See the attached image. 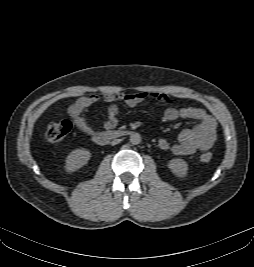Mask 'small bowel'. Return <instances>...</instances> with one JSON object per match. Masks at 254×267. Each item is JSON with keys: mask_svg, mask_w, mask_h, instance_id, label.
Listing matches in <instances>:
<instances>
[{"mask_svg": "<svg viewBox=\"0 0 254 267\" xmlns=\"http://www.w3.org/2000/svg\"><path fill=\"white\" fill-rule=\"evenodd\" d=\"M148 97L158 100L161 103L170 101L166 94L162 93H106L101 96H83L74 101L68 108V115L74 125L84 134L95 136L99 133L85 119L84 112L92 105L103 100L109 103L107 109V120L104 123V130L116 127L118 123L119 107L116 102L121 101L129 107H135L143 103ZM179 118L193 119L198 121L197 125L190 129L183 130L178 142L170 145L166 139L159 140V147L163 150L171 149L172 153L179 156L192 155L197 151H206L212 147L216 140V122L205 110L198 107H167L162 113L164 122H172Z\"/></svg>", "mask_w": 254, "mask_h": 267, "instance_id": "c3829d8e", "label": "small bowel"}]
</instances>
